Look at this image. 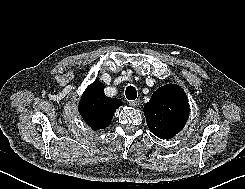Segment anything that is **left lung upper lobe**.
<instances>
[{"label":"left lung upper lobe","instance_id":"left-lung-upper-lobe-1","mask_svg":"<svg viewBox=\"0 0 245 189\" xmlns=\"http://www.w3.org/2000/svg\"><path fill=\"white\" fill-rule=\"evenodd\" d=\"M149 130L161 139L173 138L185 126L189 104L184 90L176 84L158 88L144 105Z\"/></svg>","mask_w":245,"mask_h":189}]
</instances>
